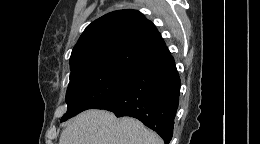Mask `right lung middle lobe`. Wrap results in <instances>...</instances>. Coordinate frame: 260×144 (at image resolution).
Wrapping results in <instances>:
<instances>
[{
    "instance_id": "1",
    "label": "right lung middle lobe",
    "mask_w": 260,
    "mask_h": 144,
    "mask_svg": "<svg viewBox=\"0 0 260 144\" xmlns=\"http://www.w3.org/2000/svg\"><path fill=\"white\" fill-rule=\"evenodd\" d=\"M136 70L110 65H96L70 74L67 88V112L61 122L94 108L118 91Z\"/></svg>"
}]
</instances>
